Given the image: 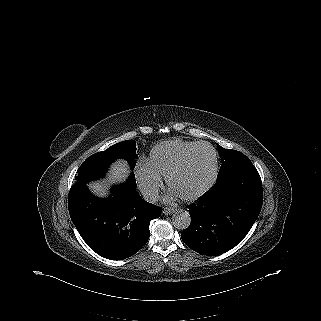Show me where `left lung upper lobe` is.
<instances>
[{
  "mask_svg": "<svg viewBox=\"0 0 321 321\" xmlns=\"http://www.w3.org/2000/svg\"><path fill=\"white\" fill-rule=\"evenodd\" d=\"M217 146L219 148V156L223 160V164L218 175L233 166L250 162L249 158L239 151L225 149L220 145Z\"/></svg>",
  "mask_w": 321,
  "mask_h": 321,
  "instance_id": "5c2ea615",
  "label": "left lung upper lobe"
}]
</instances>
